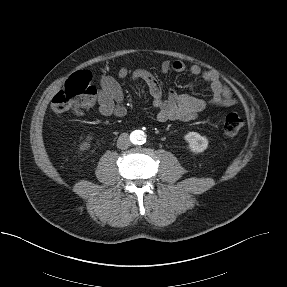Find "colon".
I'll use <instances>...</instances> for the list:
<instances>
[{
  "label": "colon",
  "mask_w": 287,
  "mask_h": 287,
  "mask_svg": "<svg viewBox=\"0 0 287 287\" xmlns=\"http://www.w3.org/2000/svg\"><path fill=\"white\" fill-rule=\"evenodd\" d=\"M97 93L91 73L85 70L78 71L68 78L53 97L52 110L57 114H63L71 109L80 110L91 106ZM221 125L226 134L236 135L242 129L244 120L237 113H225L221 116Z\"/></svg>",
  "instance_id": "5ec220e1"
}]
</instances>
